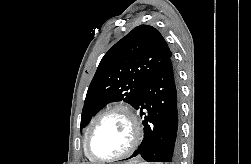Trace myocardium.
Masks as SVG:
<instances>
[{
	"label": "myocardium",
	"instance_id": "f54148a6",
	"mask_svg": "<svg viewBox=\"0 0 251 164\" xmlns=\"http://www.w3.org/2000/svg\"><path fill=\"white\" fill-rule=\"evenodd\" d=\"M113 112L122 113L123 115H125V117L130 122L131 129H132L131 142L124 152H122L116 156H112L109 158L95 157L92 154L91 149H90V144H91V139H92L93 133H94L96 127L98 126L99 122L105 116H107L108 114L113 113ZM141 139H142V127H141L140 120L137 117L136 113L129 105L123 104V103H118V104H114V105L106 108L90 124L88 131H87V134H86V138H85V144H84L85 153L88 158H90L91 160H93L94 162H97V163L113 162V161L121 160V159L126 158L129 155H131L136 150L138 145L140 144Z\"/></svg>",
	"mask_w": 251,
	"mask_h": 164
}]
</instances>
